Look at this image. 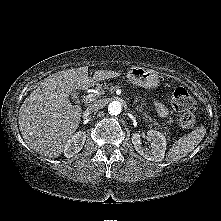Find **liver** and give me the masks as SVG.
Instances as JSON below:
<instances>
[{"label":"liver","mask_w":221,"mask_h":221,"mask_svg":"<svg viewBox=\"0 0 221 221\" xmlns=\"http://www.w3.org/2000/svg\"><path fill=\"white\" fill-rule=\"evenodd\" d=\"M119 75L116 71L97 70L89 77L88 67L84 66L58 72L42 82L19 110V129L30 149L49 158L62 154L82 114L81 106L69 101L70 93Z\"/></svg>","instance_id":"obj_1"}]
</instances>
